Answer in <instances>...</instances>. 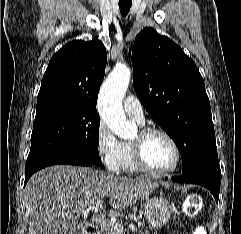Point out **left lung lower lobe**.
Returning a JSON list of instances; mask_svg holds the SVG:
<instances>
[{"instance_id": "0a47b994", "label": "left lung lower lobe", "mask_w": 241, "mask_h": 234, "mask_svg": "<svg viewBox=\"0 0 241 234\" xmlns=\"http://www.w3.org/2000/svg\"><path fill=\"white\" fill-rule=\"evenodd\" d=\"M172 180L175 182L193 183V184L202 185L211 191L216 202H218L219 200L221 175L217 176L209 172H198V173H193L189 175L172 177Z\"/></svg>"}]
</instances>
